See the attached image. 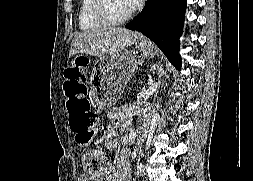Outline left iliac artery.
<instances>
[{"label": "left iliac artery", "instance_id": "44dca946", "mask_svg": "<svg viewBox=\"0 0 253 181\" xmlns=\"http://www.w3.org/2000/svg\"><path fill=\"white\" fill-rule=\"evenodd\" d=\"M141 172L144 173V165L141 164Z\"/></svg>", "mask_w": 253, "mask_h": 181}]
</instances>
